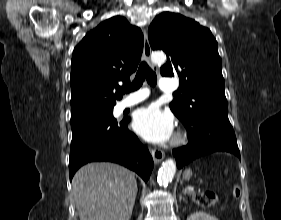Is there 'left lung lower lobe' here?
I'll use <instances>...</instances> for the list:
<instances>
[{
  "label": "left lung lower lobe",
  "mask_w": 281,
  "mask_h": 220,
  "mask_svg": "<svg viewBox=\"0 0 281 220\" xmlns=\"http://www.w3.org/2000/svg\"><path fill=\"white\" fill-rule=\"evenodd\" d=\"M183 124L187 129L189 143L173 150L178 168L193 159L219 151L229 152L240 158L236 136L228 117L211 113Z\"/></svg>",
  "instance_id": "left-lung-lower-lobe-1"
}]
</instances>
